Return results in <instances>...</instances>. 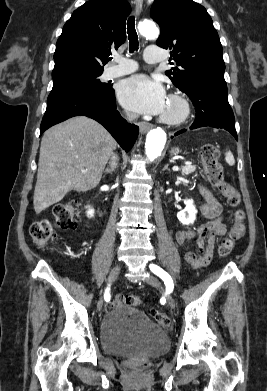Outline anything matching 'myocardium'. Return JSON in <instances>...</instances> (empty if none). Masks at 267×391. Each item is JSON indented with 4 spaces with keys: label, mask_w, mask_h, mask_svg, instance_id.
Segmentation results:
<instances>
[{
    "label": "myocardium",
    "mask_w": 267,
    "mask_h": 391,
    "mask_svg": "<svg viewBox=\"0 0 267 391\" xmlns=\"http://www.w3.org/2000/svg\"><path fill=\"white\" fill-rule=\"evenodd\" d=\"M169 102H174L179 106V111L175 115H168L163 113L160 117V120L163 123L169 125H179L184 123L190 116L191 106L188 99L178 93H172L168 97Z\"/></svg>",
    "instance_id": "myocardium-1"
}]
</instances>
